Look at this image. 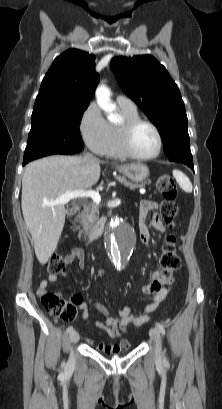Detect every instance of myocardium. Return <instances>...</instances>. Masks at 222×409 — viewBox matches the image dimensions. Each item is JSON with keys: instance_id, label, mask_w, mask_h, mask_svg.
Listing matches in <instances>:
<instances>
[{"instance_id": "myocardium-1", "label": "myocardium", "mask_w": 222, "mask_h": 409, "mask_svg": "<svg viewBox=\"0 0 222 409\" xmlns=\"http://www.w3.org/2000/svg\"><path fill=\"white\" fill-rule=\"evenodd\" d=\"M139 125H148L150 126L156 133L157 138H158V147L156 151L153 154L150 155H139L134 152L131 146V135L133 131L139 126ZM119 144L120 147L123 151V153L132 159L136 160H141V161H147V160H152L156 157H158L162 151L163 148V136L158 128V126L153 123L150 120L143 119V118H135L131 120H124L120 126H119Z\"/></svg>"}]
</instances>
